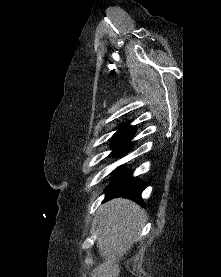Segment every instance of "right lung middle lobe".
<instances>
[{
    "label": "right lung middle lobe",
    "mask_w": 221,
    "mask_h": 277,
    "mask_svg": "<svg viewBox=\"0 0 221 277\" xmlns=\"http://www.w3.org/2000/svg\"><path fill=\"white\" fill-rule=\"evenodd\" d=\"M134 128L122 127L113 136V152L111 155L122 156L130 151L132 145L130 139L133 137Z\"/></svg>",
    "instance_id": "1"
}]
</instances>
